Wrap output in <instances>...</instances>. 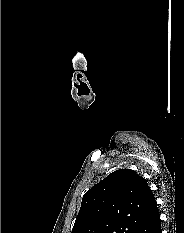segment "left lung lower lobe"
I'll return each instance as SVG.
<instances>
[{"instance_id": "0a47b994", "label": "left lung lower lobe", "mask_w": 184, "mask_h": 233, "mask_svg": "<svg viewBox=\"0 0 184 233\" xmlns=\"http://www.w3.org/2000/svg\"><path fill=\"white\" fill-rule=\"evenodd\" d=\"M137 233H162L160 214L155 198L152 200Z\"/></svg>"}]
</instances>
